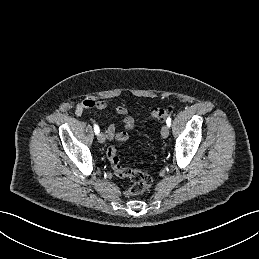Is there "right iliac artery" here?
<instances>
[{
  "mask_svg": "<svg viewBox=\"0 0 259 259\" xmlns=\"http://www.w3.org/2000/svg\"><path fill=\"white\" fill-rule=\"evenodd\" d=\"M99 131H100V129H99L98 125L95 124L94 125V132H95V134H98Z\"/></svg>",
  "mask_w": 259,
  "mask_h": 259,
  "instance_id": "obj_1",
  "label": "right iliac artery"
}]
</instances>
